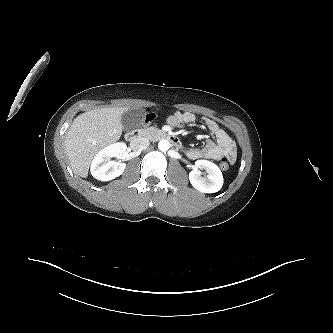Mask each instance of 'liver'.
Masks as SVG:
<instances>
[{"label": "liver", "instance_id": "6515ba94", "mask_svg": "<svg viewBox=\"0 0 333 333\" xmlns=\"http://www.w3.org/2000/svg\"><path fill=\"white\" fill-rule=\"evenodd\" d=\"M129 108H97L74 119L66 134V149L71 168L86 178L95 155L122 135V115Z\"/></svg>", "mask_w": 333, "mask_h": 333}]
</instances>
